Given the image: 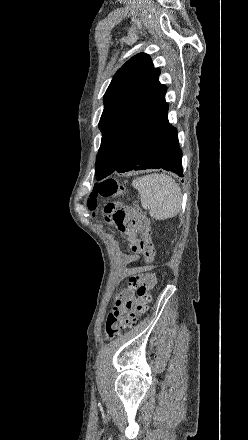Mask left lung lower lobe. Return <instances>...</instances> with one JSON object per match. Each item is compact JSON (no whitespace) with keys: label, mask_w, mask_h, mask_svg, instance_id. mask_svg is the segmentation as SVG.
Returning <instances> with one entry per match:
<instances>
[{"label":"left lung lower lobe","mask_w":248,"mask_h":440,"mask_svg":"<svg viewBox=\"0 0 248 440\" xmlns=\"http://www.w3.org/2000/svg\"><path fill=\"white\" fill-rule=\"evenodd\" d=\"M165 169L183 177L182 152L179 148L176 128L168 119L154 132L132 147L115 172L132 170Z\"/></svg>","instance_id":"left-lung-lower-lobe-1"}]
</instances>
